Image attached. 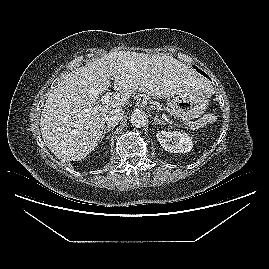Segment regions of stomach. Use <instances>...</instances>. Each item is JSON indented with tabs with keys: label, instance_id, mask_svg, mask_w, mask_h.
<instances>
[{
	"label": "stomach",
	"instance_id": "0dacf381",
	"mask_svg": "<svg viewBox=\"0 0 269 269\" xmlns=\"http://www.w3.org/2000/svg\"><path fill=\"white\" fill-rule=\"evenodd\" d=\"M208 95L201 89H192L175 96L170 103V114L186 124H193L208 107Z\"/></svg>",
	"mask_w": 269,
	"mask_h": 269
}]
</instances>
